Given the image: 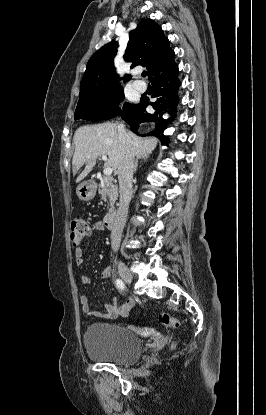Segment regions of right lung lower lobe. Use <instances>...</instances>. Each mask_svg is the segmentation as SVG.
Returning a JSON list of instances; mask_svg holds the SVG:
<instances>
[{
    "label": "right lung lower lobe",
    "instance_id": "98d812e1",
    "mask_svg": "<svg viewBox=\"0 0 266 415\" xmlns=\"http://www.w3.org/2000/svg\"><path fill=\"white\" fill-rule=\"evenodd\" d=\"M178 66L174 64L172 67L151 79L154 89L153 97L155 102H149L147 98H142L140 103L133 104L127 110L122 112V119L125 120L132 131L137 133V129L147 125H152V131L147 133L148 136L157 137L162 144L168 145V137L163 134L167 128L170 119H164L163 115L168 113L174 118L175 110L178 103L176 92L180 82L178 80ZM151 105L154 113H147L145 108Z\"/></svg>",
    "mask_w": 266,
    "mask_h": 415
}]
</instances>
